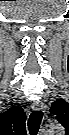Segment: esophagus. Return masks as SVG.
<instances>
[{"instance_id": "obj_1", "label": "esophagus", "mask_w": 69, "mask_h": 135, "mask_svg": "<svg viewBox=\"0 0 69 135\" xmlns=\"http://www.w3.org/2000/svg\"><path fill=\"white\" fill-rule=\"evenodd\" d=\"M32 108L34 110L44 111L45 110V105L41 101H35L32 104Z\"/></svg>"}]
</instances>
